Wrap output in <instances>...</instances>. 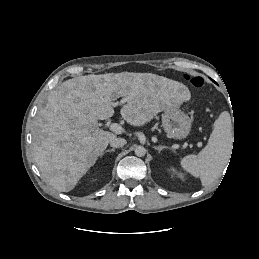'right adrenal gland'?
<instances>
[{"label":"right adrenal gland","instance_id":"right-adrenal-gland-1","mask_svg":"<svg viewBox=\"0 0 259 259\" xmlns=\"http://www.w3.org/2000/svg\"><path fill=\"white\" fill-rule=\"evenodd\" d=\"M114 151H115V148H112V149H107L104 153H107V152H114ZM104 153H103V154H104ZM103 154H102V155H103Z\"/></svg>","mask_w":259,"mask_h":259}]
</instances>
